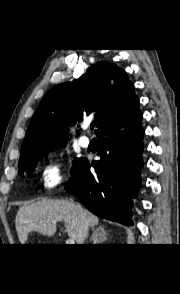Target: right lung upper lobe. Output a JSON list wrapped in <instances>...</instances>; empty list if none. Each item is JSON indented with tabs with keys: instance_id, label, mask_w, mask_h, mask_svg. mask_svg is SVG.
Wrapping results in <instances>:
<instances>
[{
	"instance_id": "cb5924a9",
	"label": "right lung upper lobe",
	"mask_w": 180,
	"mask_h": 294,
	"mask_svg": "<svg viewBox=\"0 0 180 294\" xmlns=\"http://www.w3.org/2000/svg\"><path fill=\"white\" fill-rule=\"evenodd\" d=\"M136 98L134 85L124 70L108 62L94 64L77 81L57 85L47 92L27 129L19 162L42 149L65 145L67 125L73 126L92 112H96L97 134Z\"/></svg>"
}]
</instances>
